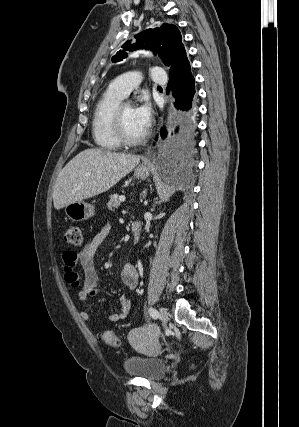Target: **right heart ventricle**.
Wrapping results in <instances>:
<instances>
[{"mask_svg":"<svg viewBox=\"0 0 299 427\" xmlns=\"http://www.w3.org/2000/svg\"><path fill=\"white\" fill-rule=\"evenodd\" d=\"M123 96L109 86L97 101L92 116V137L95 145L104 151H114L121 144L112 130V113Z\"/></svg>","mask_w":299,"mask_h":427,"instance_id":"e07e8e85","label":"right heart ventricle"}]
</instances>
